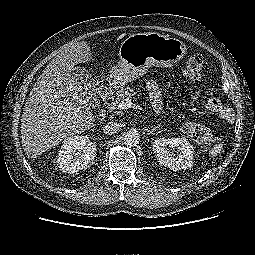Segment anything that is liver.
I'll list each match as a JSON object with an SVG mask.
<instances>
[{
  "instance_id": "obj_1",
  "label": "liver",
  "mask_w": 255,
  "mask_h": 255,
  "mask_svg": "<svg viewBox=\"0 0 255 255\" xmlns=\"http://www.w3.org/2000/svg\"><path fill=\"white\" fill-rule=\"evenodd\" d=\"M86 41L68 44L46 66L25 102L21 138L30 158L59 144L73 134L90 129L95 122L88 99L72 83V70L91 59Z\"/></svg>"
}]
</instances>
